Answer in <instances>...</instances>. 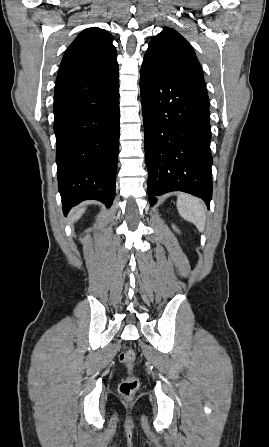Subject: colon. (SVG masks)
Here are the masks:
<instances>
[{
    "label": "colon",
    "mask_w": 269,
    "mask_h": 447,
    "mask_svg": "<svg viewBox=\"0 0 269 447\" xmlns=\"http://www.w3.org/2000/svg\"><path fill=\"white\" fill-rule=\"evenodd\" d=\"M119 359L120 362L127 368V375L119 385V394L123 398H131L141 384L140 379L137 378L132 372L136 362V354L131 349H125L120 353Z\"/></svg>",
    "instance_id": "1"
}]
</instances>
